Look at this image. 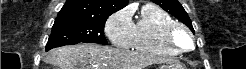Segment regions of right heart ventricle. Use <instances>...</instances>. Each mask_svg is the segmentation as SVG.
Here are the masks:
<instances>
[{"mask_svg": "<svg viewBox=\"0 0 246 69\" xmlns=\"http://www.w3.org/2000/svg\"><path fill=\"white\" fill-rule=\"evenodd\" d=\"M176 23L164 9L152 4L144 5L133 23L131 49L155 56H173L177 51L165 41L164 31Z\"/></svg>", "mask_w": 246, "mask_h": 69, "instance_id": "1", "label": "right heart ventricle"}]
</instances>
